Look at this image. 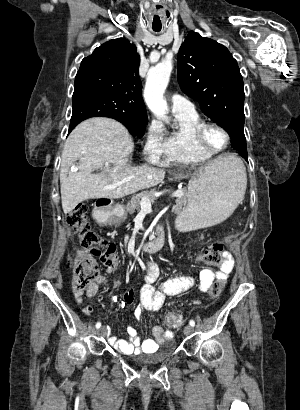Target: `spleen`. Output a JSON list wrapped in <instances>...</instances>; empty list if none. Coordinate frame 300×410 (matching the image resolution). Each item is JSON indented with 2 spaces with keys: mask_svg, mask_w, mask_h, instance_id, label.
Here are the masks:
<instances>
[{
  "mask_svg": "<svg viewBox=\"0 0 300 410\" xmlns=\"http://www.w3.org/2000/svg\"><path fill=\"white\" fill-rule=\"evenodd\" d=\"M230 167L236 169L239 178H240V182H241V186L243 188L242 194H241V199L243 198L245 189H246V185H247V177H246V171H245V167L242 163V161L236 157H232V160L230 162Z\"/></svg>",
  "mask_w": 300,
  "mask_h": 410,
  "instance_id": "1",
  "label": "spleen"
}]
</instances>
